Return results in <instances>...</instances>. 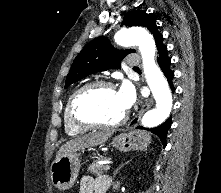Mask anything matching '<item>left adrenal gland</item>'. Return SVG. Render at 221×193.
I'll return each mask as SVG.
<instances>
[{
	"label": "left adrenal gland",
	"instance_id": "left-adrenal-gland-1",
	"mask_svg": "<svg viewBox=\"0 0 221 193\" xmlns=\"http://www.w3.org/2000/svg\"><path fill=\"white\" fill-rule=\"evenodd\" d=\"M130 161H126L125 163H122L113 173V178L116 177V175L119 173L120 169L123 168L126 164H128Z\"/></svg>",
	"mask_w": 221,
	"mask_h": 193
}]
</instances>
